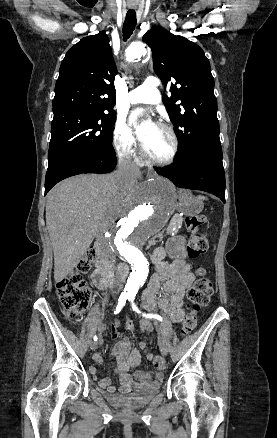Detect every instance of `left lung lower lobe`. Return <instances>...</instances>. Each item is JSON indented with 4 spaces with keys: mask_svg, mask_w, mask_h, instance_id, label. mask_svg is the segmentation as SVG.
<instances>
[{
    "mask_svg": "<svg viewBox=\"0 0 277 438\" xmlns=\"http://www.w3.org/2000/svg\"><path fill=\"white\" fill-rule=\"evenodd\" d=\"M155 169L158 174L169 178L178 187L206 191L225 202L221 144H209L191 159Z\"/></svg>",
    "mask_w": 277,
    "mask_h": 438,
    "instance_id": "obj_1",
    "label": "left lung lower lobe"
}]
</instances>
